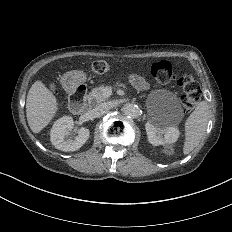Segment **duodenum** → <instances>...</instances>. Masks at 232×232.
Here are the masks:
<instances>
[{"mask_svg":"<svg viewBox=\"0 0 232 232\" xmlns=\"http://www.w3.org/2000/svg\"><path fill=\"white\" fill-rule=\"evenodd\" d=\"M64 87L70 97V109L74 114H81L85 109V101L87 88L78 79H68L64 83Z\"/></svg>","mask_w":232,"mask_h":232,"instance_id":"410a0bca","label":"duodenum"}]
</instances>
